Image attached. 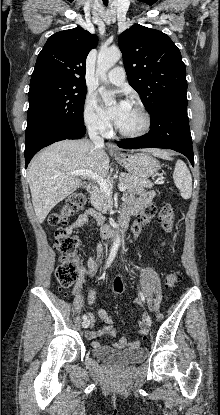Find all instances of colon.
<instances>
[{
    "instance_id": "obj_1",
    "label": "colon",
    "mask_w": 220,
    "mask_h": 415,
    "mask_svg": "<svg viewBox=\"0 0 220 415\" xmlns=\"http://www.w3.org/2000/svg\"><path fill=\"white\" fill-rule=\"evenodd\" d=\"M87 195L84 192H75L71 194L59 210L52 212L48 216V224L56 228L54 233L55 249L59 255V265L56 269V279L61 288L71 287L78 278L81 263L79 259V250L81 247L78 237L67 228H63L69 220L80 212L87 203ZM156 208L153 205H147L143 209L144 217H153ZM159 222L165 231H170L175 222V212L171 205H164L159 214ZM178 280L175 272L168 273L164 277V287L172 288ZM120 293L114 292V298Z\"/></svg>"
}]
</instances>
